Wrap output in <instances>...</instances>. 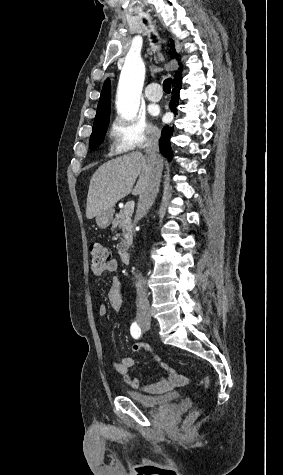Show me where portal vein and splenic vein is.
<instances>
[{
	"label": "portal vein and splenic vein",
	"instance_id": "portal-vein-and-splenic-vein-1",
	"mask_svg": "<svg viewBox=\"0 0 283 475\" xmlns=\"http://www.w3.org/2000/svg\"><path fill=\"white\" fill-rule=\"evenodd\" d=\"M126 208H127V210H131V212H133V210H134L133 204H127Z\"/></svg>",
	"mask_w": 283,
	"mask_h": 475
}]
</instances>
